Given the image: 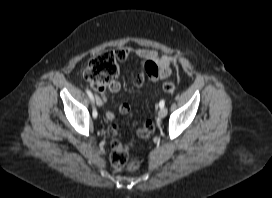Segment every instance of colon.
Masks as SVG:
<instances>
[{
  "label": "colon",
  "instance_id": "obj_1",
  "mask_svg": "<svg viewBox=\"0 0 272 198\" xmlns=\"http://www.w3.org/2000/svg\"><path fill=\"white\" fill-rule=\"evenodd\" d=\"M122 57L116 51H103L94 56L85 69L84 76L91 86L101 92L106 91L115 81L118 74V61ZM144 74L149 78L158 75V67L153 61H146L144 64ZM136 82L139 86L144 83V75L137 77ZM163 89L172 93L175 89L173 82H165ZM155 130L152 120H147L144 125L137 130L136 135L140 140L151 138ZM108 133L112 137L110 163L115 171L133 172L140 168L141 160L137 157H130L128 149L133 146V142H123L118 138V125L112 123L108 128Z\"/></svg>",
  "mask_w": 272,
  "mask_h": 198
}]
</instances>
